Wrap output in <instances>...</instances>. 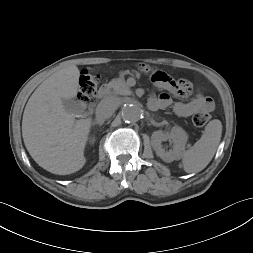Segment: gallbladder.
Returning <instances> with one entry per match:
<instances>
[{"instance_id":"bac80fb5","label":"gallbladder","mask_w":253,"mask_h":253,"mask_svg":"<svg viewBox=\"0 0 253 253\" xmlns=\"http://www.w3.org/2000/svg\"><path fill=\"white\" fill-rule=\"evenodd\" d=\"M62 103L66 112L73 115L79 114V105L74 99H62Z\"/></svg>"}]
</instances>
